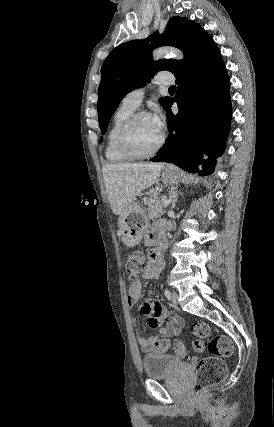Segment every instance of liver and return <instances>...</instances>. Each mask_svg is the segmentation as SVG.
<instances>
[{"label": "liver", "instance_id": "obj_1", "mask_svg": "<svg viewBox=\"0 0 274 427\" xmlns=\"http://www.w3.org/2000/svg\"><path fill=\"white\" fill-rule=\"evenodd\" d=\"M164 164H107L102 174L113 214H122L132 206L142 190L158 180Z\"/></svg>", "mask_w": 274, "mask_h": 427}]
</instances>
